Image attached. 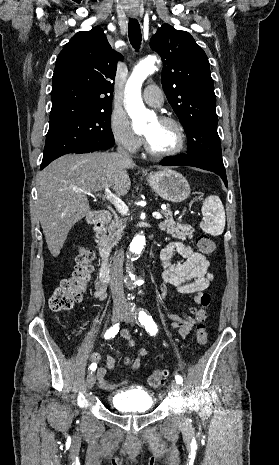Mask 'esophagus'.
Returning <instances> with one entry per match:
<instances>
[{
    "mask_svg": "<svg viewBox=\"0 0 279 465\" xmlns=\"http://www.w3.org/2000/svg\"><path fill=\"white\" fill-rule=\"evenodd\" d=\"M131 16H132L133 18H135V17H136V15H135V14H133V15H131Z\"/></svg>",
    "mask_w": 279,
    "mask_h": 465,
    "instance_id": "obj_1",
    "label": "esophagus"
}]
</instances>
